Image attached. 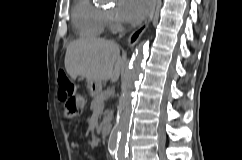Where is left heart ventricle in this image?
Instances as JSON below:
<instances>
[{
	"mask_svg": "<svg viewBox=\"0 0 242 160\" xmlns=\"http://www.w3.org/2000/svg\"><path fill=\"white\" fill-rule=\"evenodd\" d=\"M113 11L112 8L108 9L107 12L111 13Z\"/></svg>",
	"mask_w": 242,
	"mask_h": 160,
	"instance_id": "obj_1",
	"label": "left heart ventricle"
}]
</instances>
